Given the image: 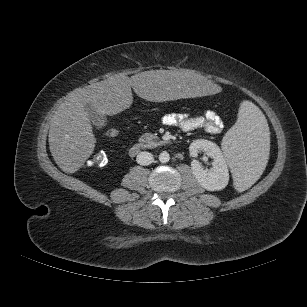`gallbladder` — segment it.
Wrapping results in <instances>:
<instances>
[{
  "label": "gallbladder",
  "mask_w": 307,
  "mask_h": 307,
  "mask_svg": "<svg viewBox=\"0 0 307 307\" xmlns=\"http://www.w3.org/2000/svg\"><path fill=\"white\" fill-rule=\"evenodd\" d=\"M87 109V113H88V118L89 120L95 125V126H98V127H102L105 125V122H106V118L98 113L96 110H94L92 107L90 106H87L86 107Z\"/></svg>",
  "instance_id": "gallbladder-1"
}]
</instances>
